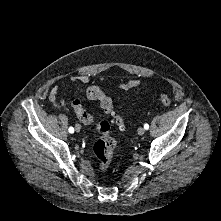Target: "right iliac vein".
Here are the masks:
<instances>
[{
	"instance_id": "1",
	"label": "right iliac vein",
	"mask_w": 221,
	"mask_h": 221,
	"mask_svg": "<svg viewBox=\"0 0 221 221\" xmlns=\"http://www.w3.org/2000/svg\"><path fill=\"white\" fill-rule=\"evenodd\" d=\"M75 130H76L77 132H79V131H80V125L76 124V125H75Z\"/></svg>"
}]
</instances>
